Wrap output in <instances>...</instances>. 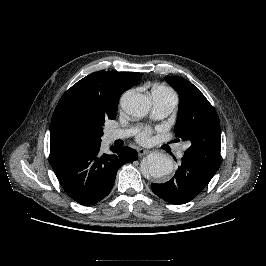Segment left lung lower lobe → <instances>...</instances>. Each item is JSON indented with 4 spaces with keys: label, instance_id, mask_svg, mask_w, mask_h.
<instances>
[{
    "label": "left lung lower lobe",
    "instance_id": "obj_1",
    "mask_svg": "<svg viewBox=\"0 0 266 266\" xmlns=\"http://www.w3.org/2000/svg\"><path fill=\"white\" fill-rule=\"evenodd\" d=\"M215 173L183 157L172 179L164 184L152 183L151 188L158 197L169 203L184 204L195 198Z\"/></svg>",
    "mask_w": 266,
    "mask_h": 266
}]
</instances>
